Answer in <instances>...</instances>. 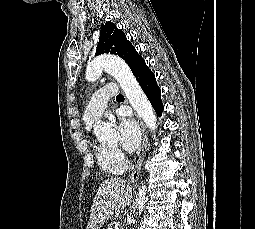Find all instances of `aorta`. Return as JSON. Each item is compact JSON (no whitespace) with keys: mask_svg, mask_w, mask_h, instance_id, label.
<instances>
[{"mask_svg":"<svg viewBox=\"0 0 255 229\" xmlns=\"http://www.w3.org/2000/svg\"><path fill=\"white\" fill-rule=\"evenodd\" d=\"M103 70L112 75L120 87L130 104L142 118L147 127L151 131L157 128V119L153 111L152 105L147 99L146 95L139 86L129 66L119 57L103 56L91 61L86 68V80L94 82L100 78ZM95 134L99 141L106 142L118 138V133L106 122H103L95 129ZM147 189L142 183L139 188L137 207L139 213L145 209L147 202Z\"/></svg>","mask_w":255,"mask_h":229,"instance_id":"aorta-1","label":"aorta"}]
</instances>
